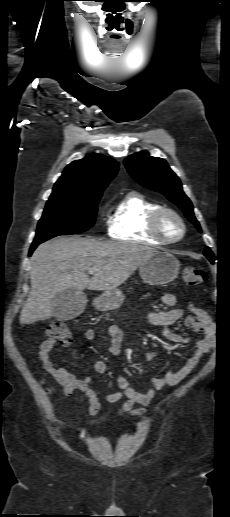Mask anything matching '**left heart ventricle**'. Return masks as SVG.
I'll return each instance as SVG.
<instances>
[{
    "label": "left heart ventricle",
    "mask_w": 230,
    "mask_h": 517,
    "mask_svg": "<svg viewBox=\"0 0 230 517\" xmlns=\"http://www.w3.org/2000/svg\"><path fill=\"white\" fill-rule=\"evenodd\" d=\"M163 229L167 236L175 237L180 231V226L174 218L166 217L164 220Z\"/></svg>",
    "instance_id": "1"
}]
</instances>
